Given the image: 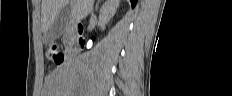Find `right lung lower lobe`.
Wrapping results in <instances>:
<instances>
[{
    "label": "right lung lower lobe",
    "mask_w": 232,
    "mask_h": 96,
    "mask_svg": "<svg viewBox=\"0 0 232 96\" xmlns=\"http://www.w3.org/2000/svg\"><path fill=\"white\" fill-rule=\"evenodd\" d=\"M130 1H131V4H132V7H134L136 5L137 0H130Z\"/></svg>",
    "instance_id": "1"
}]
</instances>
